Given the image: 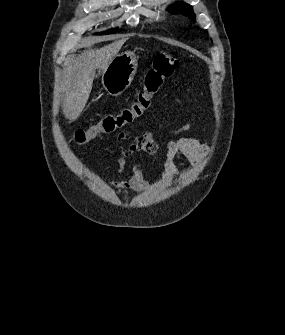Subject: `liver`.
Segmentation results:
<instances>
[{
  "instance_id": "6515ba94",
  "label": "liver",
  "mask_w": 285,
  "mask_h": 335,
  "mask_svg": "<svg viewBox=\"0 0 285 335\" xmlns=\"http://www.w3.org/2000/svg\"><path fill=\"white\" fill-rule=\"evenodd\" d=\"M125 42V38L124 40H116L109 46L84 52L82 56L75 58L69 78L62 88V92H64L63 114L67 120H77L81 116L91 94L95 70H103L104 72L111 60L118 56V52ZM91 44H96V42L94 40L83 42V44H78L77 48H86Z\"/></svg>"
}]
</instances>
